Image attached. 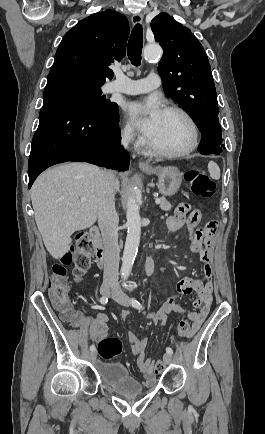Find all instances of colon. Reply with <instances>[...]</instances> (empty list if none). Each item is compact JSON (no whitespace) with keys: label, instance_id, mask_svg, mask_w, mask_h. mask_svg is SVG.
Listing matches in <instances>:
<instances>
[{"label":"colon","instance_id":"1","mask_svg":"<svg viewBox=\"0 0 265 434\" xmlns=\"http://www.w3.org/2000/svg\"><path fill=\"white\" fill-rule=\"evenodd\" d=\"M189 190L195 195L213 199L217 190L215 182L205 173L197 168L188 170L185 174ZM85 245L80 248L84 249ZM91 257L82 251L67 252L63 260L52 265L47 279V287L51 300L60 310L61 322H72L73 314L70 304L66 299L68 290L67 272L71 263H74V273L81 278L90 266ZM192 333L191 319H182L179 323L178 334L180 337L188 338ZM123 344L119 338H104L98 344V352L103 360H112L122 352ZM164 369V364L158 362L156 371L159 373Z\"/></svg>","mask_w":265,"mask_h":434}]
</instances>
